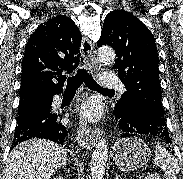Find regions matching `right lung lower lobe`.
<instances>
[{"instance_id": "right-lung-lower-lobe-1", "label": "right lung lower lobe", "mask_w": 183, "mask_h": 179, "mask_svg": "<svg viewBox=\"0 0 183 179\" xmlns=\"http://www.w3.org/2000/svg\"><path fill=\"white\" fill-rule=\"evenodd\" d=\"M61 92L47 91L38 94L37 100L18 117L11 149L30 138L49 139L63 145L67 128L61 123L62 116L51 112L53 96Z\"/></svg>"}]
</instances>
